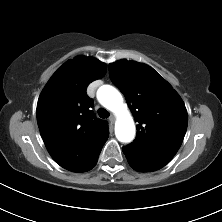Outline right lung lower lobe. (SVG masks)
<instances>
[{
    "label": "right lung lower lobe",
    "mask_w": 222,
    "mask_h": 222,
    "mask_svg": "<svg viewBox=\"0 0 222 222\" xmlns=\"http://www.w3.org/2000/svg\"><path fill=\"white\" fill-rule=\"evenodd\" d=\"M96 163L97 161L89 168V170L92 169L96 165Z\"/></svg>",
    "instance_id": "1"
}]
</instances>
